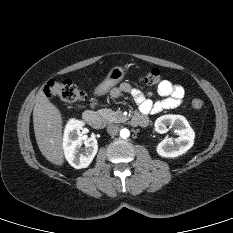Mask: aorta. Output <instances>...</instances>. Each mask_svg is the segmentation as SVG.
I'll list each match as a JSON object with an SVG mask.
<instances>
[{
  "label": "aorta",
  "mask_w": 233,
  "mask_h": 233,
  "mask_svg": "<svg viewBox=\"0 0 233 233\" xmlns=\"http://www.w3.org/2000/svg\"><path fill=\"white\" fill-rule=\"evenodd\" d=\"M130 136V131L127 128H123L120 130V137L126 139Z\"/></svg>",
  "instance_id": "1"
}]
</instances>
